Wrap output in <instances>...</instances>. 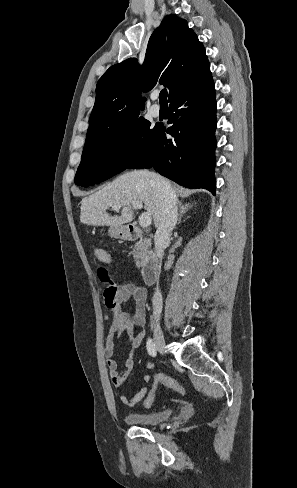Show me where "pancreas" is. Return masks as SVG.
<instances>
[{"label": "pancreas", "mask_w": 297, "mask_h": 488, "mask_svg": "<svg viewBox=\"0 0 297 488\" xmlns=\"http://www.w3.org/2000/svg\"><path fill=\"white\" fill-rule=\"evenodd\" d=\"M133 256L138 268L146 264L151 256L150 241L146 238H141L134 246Z\"/></svg>", "instance_id": "cf45deb5"}]
</instances>
